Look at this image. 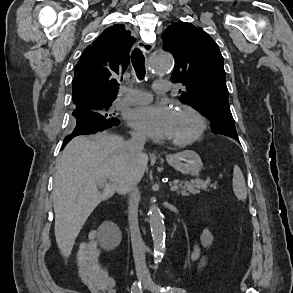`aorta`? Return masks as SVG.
Wrapping results in <instances>:
<instances>
[{"instance_id": "762f6f07", "label": "aorta", "mask_w": 293, "mask_h": 293, "mask_svg": "<svg viewBox=\"0 0 293 293\" xmlns=\"http://www.w3.org/2000/svg\"><path fill=\"white\" fill-rule=\"evenodd\" d=\"M173 67V57L163 50H156L151 55L148 69L152 74H164ZM149 224L153 238L154 257L159 260L165 251V224L160 209L153 205L149 209Z\"/></svg>"}]
</instances>
